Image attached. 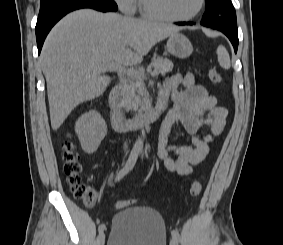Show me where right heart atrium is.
Returning <instances> with one entry per match:
<instances>
[{"instance_id": "1", "label": "right heart atrium", "mask_w": 283, "mask_h": 245, "mask_svg": "<svg viewBox=\"0 0 283 245\" xmlns=\"http://www.w3.org/2000/svg\"><path fill=\"white\" fill-rule=\"evenodd\" d=\"M114 2L125 14H132L137 8V0H114Z\"/></svg>"}]
</instances>
